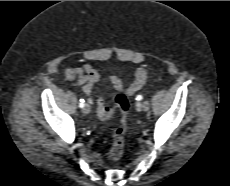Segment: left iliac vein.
<instances>
[{
	"label": "left iliac vein",
	"instance_id": "obj_1",
	"mask_svg": "<svg viewBox=\"0 0 230 186\" xmlns=\"http://www.w3.org/2000/svg\"><path fill=\"white\" fill-rule=\"evenodd\" d=\"M138 108L143 111H148L150 108L149 101H143L142 103H138Z\"/></svg>",
	"mask_w": 230,
	"mask_h": 186
}]
</instances>
